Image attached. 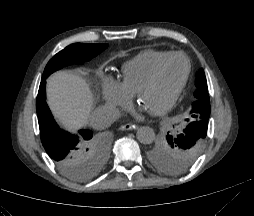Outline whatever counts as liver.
<instances>
[{
  "instance_id": "obj_1",
  "label": "liver",
  "mask_w": 254,
  "mask_h": 216,
  "mask_svg": "<svg viewBox=\"0 0 254 216\" xmlns=\"http://www.w3.org/2000/svg\"><path fill=\"white\" fill-rule=\"evenodd\" d=\"M47 103L61 125L75 130L87 125L95 97L80 75L58 71L47 80Z\"/></svg>"
}]
</instances>
